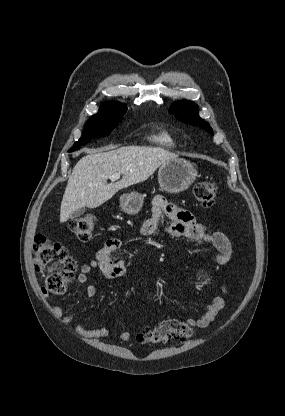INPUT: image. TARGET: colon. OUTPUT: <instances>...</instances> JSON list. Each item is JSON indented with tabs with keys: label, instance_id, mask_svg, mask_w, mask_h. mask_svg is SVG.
Instances as JSON below:
<instances>
[{
	"label": "colon",
	"instance_id": "obj_1",
	"mask_svg": "<svg viewBox=\"0 0 285 416\" xmlns=\"http://www.w3.org/2000/svg\"><path fill=\"white\" fill-rule=\"evenodd\" d=\"M195 199L205 206H211L216 201L217 186L212 181L198 182L193 189ZM97 218L85 215L70 222V230L77 238L86 242L93 236ZM35 269L46 275L45 286L49 292L63 293L68 283L74 277L77 263L68 250L44 235L34 239ZM193 335L192 327L177 319H166L158 326L138 334L141 343L165 344L173 340H186Z\"/></svg>",
	"mask_w": 285,
	"mask_h": 416
}]
</instances>
